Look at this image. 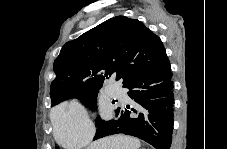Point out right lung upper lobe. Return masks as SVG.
<instances>
[{"instance_id":"cb5924a9","label":"right lung upper lobe","mask_w":227,"mask_h":149,"mask_svg":"<svg viewBox=\"0 0 227 149\" xmlns=\"http://www.w3.org/2000/svg\"><path fill=\"white\" fill-rule=\"evenodd\" d=\"M166 58L161 39L142 22L111 18L62 47L53 66L52 104L100 88L113 73L124 85Z\"/></svg>"}]
</instances>
